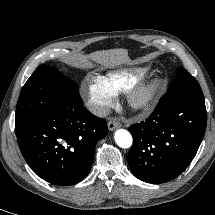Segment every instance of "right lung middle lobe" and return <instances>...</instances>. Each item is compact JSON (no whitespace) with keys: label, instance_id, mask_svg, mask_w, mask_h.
<instances>
[{"label":"right lung middle lobe","instance_id":"dd1d6c3e","mask_svg":"<svg viewBox=\"0 0 215 215\" xmlns=\"http://www.w3.org/2000/svg\"><path fill=\"white\" fill-rule=\"evenodd\" d=\"M77 88L75 82L62 75L56 68L40 65L20 93L15 116L16 134L41 115L53 99Z\"/></svg>","mask_w":215,"mask_h":215}]
</instances>
